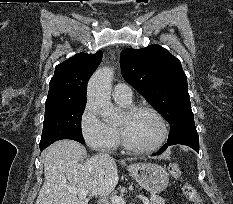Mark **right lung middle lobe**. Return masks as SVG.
<instances>
[{"mask_svg": "<svg viewBox=\"0 0 233 204\" xmlns=\"http://www.w3.org/2000/svg\"><path fill=\"white\" fill-rule=\"evenodd\" d=\"M85 101L45 104V119L40 148L61 139L85 143L81 132V115Z\"/></svg>", "mask_w": 233, "mask_h": 204, "instance_id": "1", "label": "right lung middle lobe"}]
</instances>
